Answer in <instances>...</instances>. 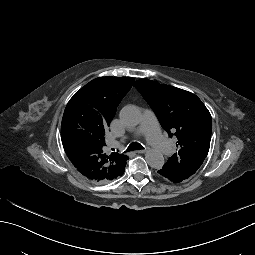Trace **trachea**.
<instances>
[{
  "mask_svg": "<svg viewBox=\"0 0 255 255\" xmlns=\"http://www.w3.org/2000/svg\"><path fill=\"white\" fill-rule=\"evenodd\" d=\"M143 149V146L142 145H140L139 143H137V142H132L129 146H128V148H127V150L125 151V152H130V151H134V150H142Z\"/></svg>",
  "mask_w": 255,
  "mask_h": 255,
  "instance_id": "1",
  "label": "trachea"
}]
</instances>
